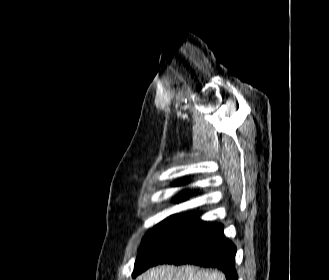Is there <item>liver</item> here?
Returning <instances> with one entry per match:
<instances>
[{"instance_id":"1","label":"liver","mask_w":329,"mask_h":280,"mask_svg":"<svg viewBox=\"0 0 329 280\" xmlns=\"http://www.w3.org/2000/svg\"><path fill=\"white\" fill-rule=\"evenodd\" d=\"M138 280H223L218 272L200 270L194 266L162 265L143 273Z\"/></svg>"}]
</instances>
